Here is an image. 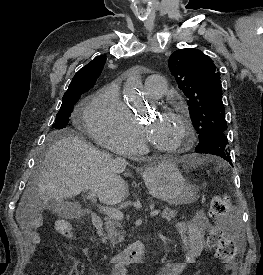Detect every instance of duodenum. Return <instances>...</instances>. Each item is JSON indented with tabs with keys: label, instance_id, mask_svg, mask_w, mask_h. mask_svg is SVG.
I'll list each match as a JSON object with an SVG mask.
<instances>
[{
	"label": "duodenum",
	"instance_id": "410a0bca",
	"mask_svg": "<svg viewBox=\"0 0 263 275\" xmlns=\"http://www.w3.org/2000/svg\"><path fill=\"white\" fill-rule=\"evenodd\" d=\"M92 224L95 229L100 230L103 226V220L98 214H92ZM144 255V244L136 241L124 251L114 255L110 259V263L115 269L124 271L125 267L140 262Z\"/></svg>",
	"mask_w": 263,
	"mask_h": 275
}]
</instances>
